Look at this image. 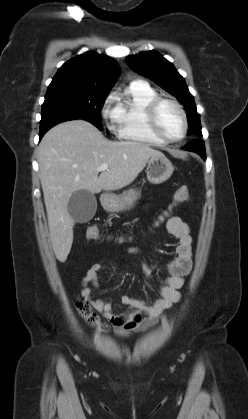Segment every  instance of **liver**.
Masks as SVG:
<instances>
[{
    "instance_id": "liver-1",
    "label": "liver",
    "mask_w": 248,
    "mask_h": 419,
    "mask_svg": "<svg viewBox=\"0 0 248 419\" xmlns=\"http://www.w3.org/2000/svg\"><path fill=\"white\" fill-rule=\"evenodd\" d=\"M153 156L162 152L140 142H112L91 123L72 120L50 129L38 149L39 177L56 258L65 262L75 220L68 202L78 190L92 194L131 184ZM108 169L97 171L101 164ZM100 172V175H99Z\"/></svg>"
}]
</instances>
